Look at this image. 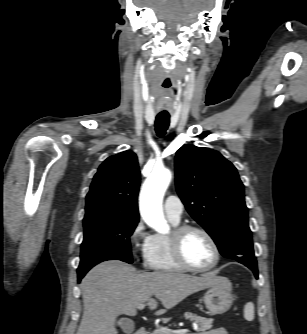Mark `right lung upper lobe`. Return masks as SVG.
I'll list each match as a JSON object with an SVG mask.
<instances>
[{
	"mask_svg": "<svg viewBox=\"0 0 307 334\" xmlns=\"http://www.w3.org/2000/svg\"><path fill=\"white\" fill-rule=\"evenodd\" d=\"M140 171L130 150L107 158L93 178L86 196L85 217L138 221Z\"/></svg>",
	"mask_w": 307,
	"mask_h": 334,
	"instance_id": "obj_1",
	"label": "right lung upper lobe"
}]
</instances>
